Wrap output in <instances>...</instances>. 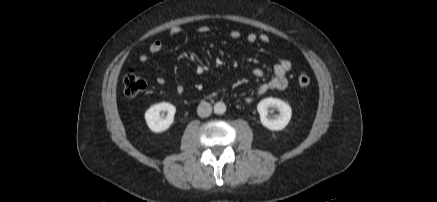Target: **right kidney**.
<instances>
[{
	"instance_id": "1",
	"label": "right kidney",
	"mask_w": 437,
	"mask_h": 202,
	"mask_svg": "<svg viewBox=\"0 0 437 202\" xmlns=\"http://www.w3.org/2000/svg\"><path fill=\"white\" fill-rule=\"evenodd\" d=\"M165 112H167L166 116ZM175 112V106L167 102L151 106L145 112V120L149 129L155 133L166 131L174 121Z\"/></svg>"
}]
</instances>
